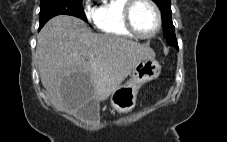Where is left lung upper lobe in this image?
Here are the masks:
<instances>
[{"instance_id":"5c2ea615","label":"left lung upper lobe","mask_w":227,"mask_h":142,"mask_svg":"<svg viewBox=\"0 0 227 142\" xmlns=\"http://www.w3.org/2000/svg\"><path fill=\"white\" fill-rule=\"evenodd\" d=\"M159 9L163 21V37L167 40L170 46L178 48L177 39L175 36V27L171 19V0H154Z\"/></svg>"}]
</instances>
